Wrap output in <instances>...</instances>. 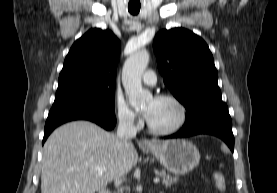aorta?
<instances>
[{"label":"aorta","instance_id":"obj_1","mask_svg":"<svg viewBox=\"0 0 277 193\" xmlns=\"http://www.w3.org/2000/svg\"><path fill=\"white\" fill-rule=\"evenodd\" d=\"M150 55L146 49L133 53L124 63L122 84L129 102L133 107H140L152 98V94L142 88L141 78L149 63Z\"/></svg>","mask_w":277,"mask_h":193}]
</instances>
